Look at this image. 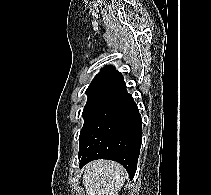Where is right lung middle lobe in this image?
<instances>
[{"mask_svg":"<svg viewBox=\"0 0 211 195\" xmlns=\"http://www.w3.org/2000/svg\"><path fill=\"white\" fill-rule=\"evenodd\" d=\"M87 96L88 100L82 113L85 122L79 136L80 144L88 135L98 116L100 115L110 98L113 96V93L89 92L87 93Z\"/></svg>","mask_w":211,"mask_h":195,"instance_id":"obj_1","label":"right lung middle lobe"}]
</instances>
